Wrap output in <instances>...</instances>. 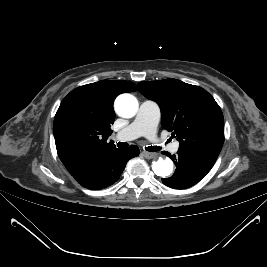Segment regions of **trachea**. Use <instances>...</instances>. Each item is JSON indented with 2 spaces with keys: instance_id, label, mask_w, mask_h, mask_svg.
I'll use <instances>...</instances> for the list:
<instances>
[{
  "instance_id": "trachea-1",
  "label": "trachea",
  "mask_w": 267,
  "mask_h": 267,
  "mask_svg": "<svg viewBox=\"0 0 267 267\" xmlns=\"http://www.w3.org/2000/svg\"><path fill=\"white\" fill-rule=\"evenodd\" d=\"M117 147H119V148H126V147H128V143H126V142H118L117 143ZM145 149L147 151H150V152H156V151H159L161 148L158 147V146H148Z\"/></svg>"
}]
</instances>
